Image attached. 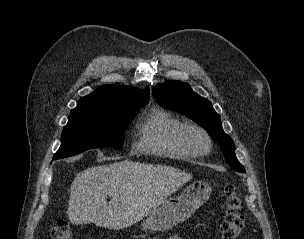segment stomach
I'll return each instance as SVG.
<instances>
[{
  "instance_id": "obj_1",
  "label": "stomach",
  "mask_w": 304,
  "mask_h": 239,
  "mask_svg": "<svg viewBox=\"0 0 304 239\" xmlns=\"http://www.w3.org/2000/svg\"><path fill=\"white\" fill-rule=\"evenodd\" d=\"M207 182L196 181L178 197H170L159 205L141 224L144 231H165L188 219L209 198Z\"/></svg>"
}]
</instances>
